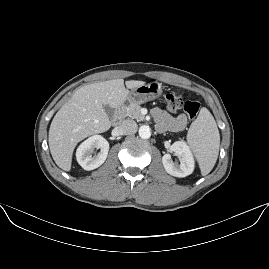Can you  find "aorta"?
Masks as SVG:
<instances>
[{
	"label": "aorta",
	"mask_w": 269,
	"mask_h": 269,
	"mask_svg": "<svg viewBox=\"0 0 269 269\" xmlns=\"http://www.w3.org/2000/svg\"><path fill=\"white\" fill-rule=\"evenodd\" d=\"M139 135L142 138H149L151 136V129L148 125H141L139 127Z\"/></svg>",
	"instance_id": "obj_1"
}]
</instances>
